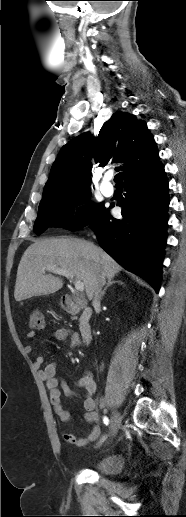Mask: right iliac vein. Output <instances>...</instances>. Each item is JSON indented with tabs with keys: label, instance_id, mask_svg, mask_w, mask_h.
<instances>
[{
	"label": "right iliac vein",
	"instance_id": "1",
	"mask_svg": "<svg viewBox=\"0 0 186 517\" xmlns=\"http://www.w3.org/2000/svg\"><path fill=\"white\" fill-rule=\"evenodd\" d=\"M122 418L118 412H113L111 417V434L114 436L120 425H121Z\"/></svg>",
	"mask_w": 186,
	"mask_h": 517
}]
</instances>
